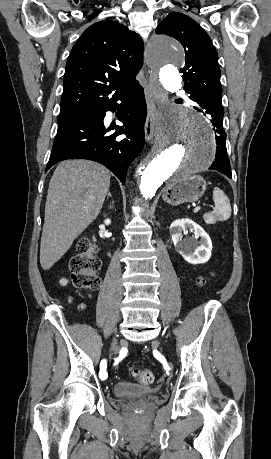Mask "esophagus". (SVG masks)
Listing matches in <instances>:
<instances>
[{
    "label": "esophagus",
    "mask_w": 271,
    "mask_h": 459,
    "mask_svg": "<svg viewBox=\"0 0 271 459\" xmlns=\"http://www.w3.org/2000/svg\"><path fill=\"white\" fill-rule=\"evenodd\" d=\"M141 67L143 69H148L150 67V62L148 60H143L141 62ZM148 77V72H147ZM145 99L147 103V117L145 121V139L148 143H151L154 138L155 132V120H156V99L157 95L154 90V87L148 77V82L144 87Z\"/></svg>",
    "instance_id": "esophagus-1"
}]
</instances>
